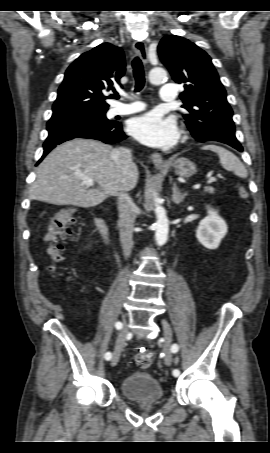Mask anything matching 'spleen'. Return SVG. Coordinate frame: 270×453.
<instances>
[{
    "mask_svg": "<svg viewBox=\"0 0 270 453\" xmlns=\"http://www.w3.org/2000/svg\"><path fill=\"white\" fill-rule=\"evenodd\" d=\"M203 149L211 150L217 153L220 159V163L224 169L232 171L238 177L241 178L247 177L246 168L239 160V158L235 156L232 152L217 145H206L203 147Z\"/></svg>",
    "mask_w": 270,
    "mask_h": 453,
    "instance_id": "obj_1",
    "label": "spleen"
}]
</instances>
